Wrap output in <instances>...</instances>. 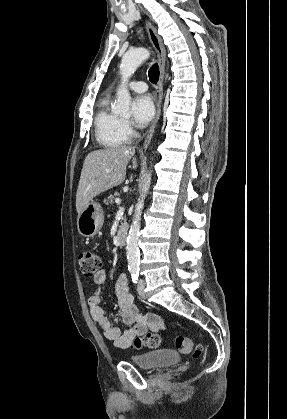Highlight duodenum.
<instances>
[{
    "instance_id": "410a0bca",
    "label": "duodenum",
    "mask_w": 287,
    "mask_h": 419,
    "mask_svg": "<svg viewBox=\"0 0 287 419\" xmlns=\"http://www.w3.org/2000/svg\"><path fill=\"white\" fill-rule=\"evenodd\" d=\"M127 237H128L127 231L123 229H119L115 236L116 243L120 246L125 245L127 241Z\"/></svg>"
}]
</instances>
